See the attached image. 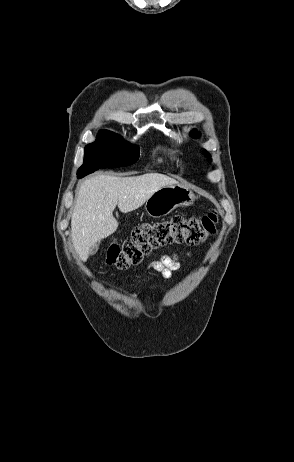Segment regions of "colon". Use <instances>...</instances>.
I'll return each mask as SVG.
<instances>
[{
  "instance_id": "5ec220e1",
  "label": "colon",
  "mask_w": 294,
  "mask_h": 462,
  "mask_svg": "<svg viewBox=\"0 0 294 462\" xmlns=\"http://www.w3.org/2000/svg\"><path fill=\"white\" fill-rule=\"evenodd\" d=\"M218 214L209 212L202 217L176 215L170 219L142 224L133 229L122 244L112 243L106 262L125 270L142 261L151 251L169 244L198 246L217 234Z\"/></svg>"
}]
</instances>
